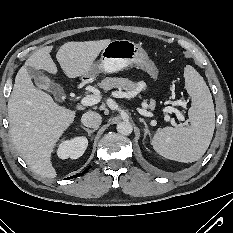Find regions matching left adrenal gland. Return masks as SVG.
I'll use <instances>...</instances> for the list:
<instances>
[{
  "instance_id": "a2214340",
  "label": "left adrenal gland",
  "mask_w": 233,
  "mask_h": 233,
  "mask_svg": "<svg viewBox=\"0 0 233 233\" xmlns=\"http://www.w3.org/2000/svg\"><path fill=\"white\" fill-rule=\"evenodd\" d=\"M140 122H142L145 126V129H144V137H146V135L148 134L149 136H151L150 134V130L148 128V125L146 124V122L144 121V119L140 118Z\"/></svg>"
}]
</instances>
